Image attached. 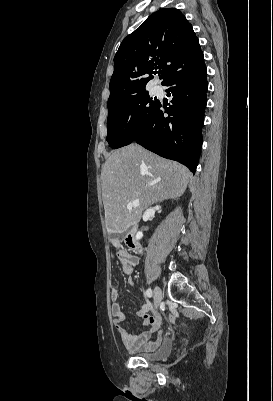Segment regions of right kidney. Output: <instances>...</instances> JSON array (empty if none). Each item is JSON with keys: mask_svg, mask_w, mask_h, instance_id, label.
<instances>
[{"mask_svg": "<svg viewBox=\"0 0 273 401\" xmlns=\"http://www.w3.org/2000/svg\"><path fill=\"white\" fill-rule=\"evenodd\" d=\"M142 237H143V235H142V233H140V231H139V233H137V235H136V239H142Z\"/></svg>", "mask_w": 273, "mask_h": 401, "instance_id": "obj_1", "label": "right kidney"}]
</instances>
